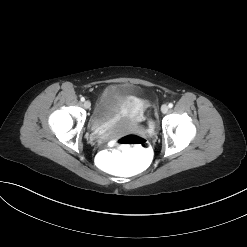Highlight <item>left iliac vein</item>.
Masks as SVG:
<instances>
[{"instance_id":"1","label":"left iliac vein","mask_w":247,"mask_h":247,"mask_svg":"<svg viewBox=\"0 0 247 247\" xmlns=\"http://www.w3.org/2000/svg\"><path fill=\"white\" fill-rule=\"evenodd\" d=\"M168 109H169V107L166 104H164V105L161 106L162 113H167L168 112Z\"/></svg>"}]
</instances>
